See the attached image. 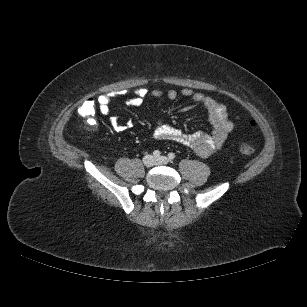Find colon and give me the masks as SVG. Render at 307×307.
<instances>
[{"label": "colon", "instance_id": "obj_1", "mask_svg": "<svg viewBox=\"0 0 307 307\" xmlns=\"http://www.w3.org/2000/svg\"><path fill=\"white\" fill-rule=\"evenodd\" d=\"M97 107V102L94 99L90 98L81 105L79 109V114L90 125H94V116L96 114ZM249 124L252 128H255L257 126L254 120H251ZM239 151L244 155L250 156L255 153V148L247 142H240Z\"/></svg>", "mask_w": 307, "mask_h": 307}]
</instances>
